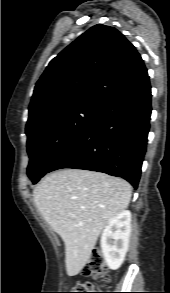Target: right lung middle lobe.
Wrapping results in <instances>:
<instances>
[{
  "label": "right lung middle lobe",
  "instance_id": "right-lung-middle-lobe-1",
  "mask_svg": "<svg viewBox=\"0 0 170 293\" xmlns=\"http://www.w3.org/2000/svg\"><path fill=\"white\" fill-rule=\"evenodd\" d=\"M101 105L79 104L26 129L30 162L28 177L35 184L96 118Z\"/></svg>",
  "mask_w": 170,
  "mask_h": 293
}]
</instances>
